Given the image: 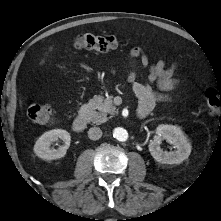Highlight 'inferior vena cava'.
Here are the masks:
<instances>
[{"label":"inferior vena cava","mask_w":221,"mask_h":221,"mask_svg":"<svg viewBox=\"0 0 221 221\" xmlns=\"http://www.w3.org/2000/svg\"><path fill=\"white\" fill-rule=\"evenodd\" d=\"M102 136V130L99 127H92L88 131V137L91 140H98Z\"/></svg>","instance_id":"1"}]
</instances>
